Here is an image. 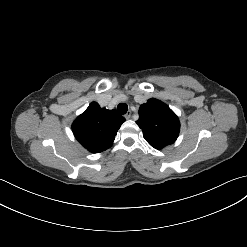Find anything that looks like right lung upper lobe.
Listing matches in <instances>:
<instances>
[{
  "mask_svg": "<svg viewBox=\"0 0 247 247\" xmlns=\"http://www.w3.org/2000/svg\"><path fill=\"white\" fill-rule=\"evenodd\" d=\"M125 118L116 112L101 108L92 102L86 111L77 117L72 130L78 142L91 153L105 151L113 144Z\"/></svg>",
  "mask_w": 247,
  "mask_h": 247,
  "instance_id": "1",
  "label": "right lung upper lobe"
}]
</instances>
